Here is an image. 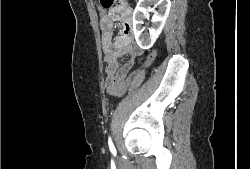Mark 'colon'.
<instances>
[{
  "label": "colon",
  "instance_id": "colon-1",
  "mask_svg": "<svg viewBox=\"0 0 250 169\" xmlns=\"http://www.w3.org/2000/svg\"><path fill=\"white\" fill-rule=\"evenodd\" d=\"M98 3H101L102 7L106 10H109L113 7V0H97ZM156 54H159V49H154L153 52L147 55V61L146 64H142V69H147V66H153V60L156 58ZM141 70L140 68L138 69ZM132 74H137V69H132ZM132 76L127 77L125 81H121L119 93L117 95H120V97H125V94L127 92V88L132 84Z\"/></svg>",
  "mask_w": 250,
  "mask_h": 169
}]
</instances>
